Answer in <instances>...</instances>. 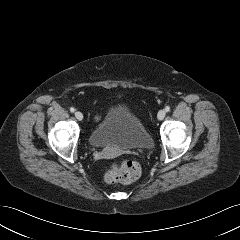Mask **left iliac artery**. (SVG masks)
Segmentation results:
<instances>
[{
    "mask_svg": "<svg viewBox=\"0 0 240 240\" xmlns=\"http://www.w3.org/2000/svg\"><path fill=\"white\" fill-rule=\"evenodd\" d=\"M165 111H166V112H169V111H170V107H169V106H166V107H165Z\"/></svg>",
    "mask_w": 240,
    "mask_h": 240,
    "instance_id": "obj_1",
    "label": "left iliac artery"
}]
</instances>
